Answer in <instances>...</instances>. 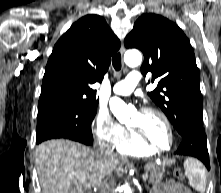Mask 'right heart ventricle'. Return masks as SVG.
Segmentation results:
<instances>
[{
	"instance_id": "obj_1",
	"label": "right heart ventricle",
	"mask_w": 221,
	"mask_h": 193,
	"mask_svg": "<svg viewBox=\"0 0 221 193\" xmlns=\"http://www.w3.org/2000/svg\"><path fill=\"white\" fill-rule=\"evenodd\" d=\"M114 148L118 153L124 155L148 156L153 154V151L142 145L131 132L127 131L124 138Z\"/></svg>"
}]
</instances>
